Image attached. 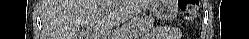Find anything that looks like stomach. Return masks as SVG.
I'll list each match as a JSON object with an SVG mask.
<instances>
[{"mask_svg": "<svg viewBox=\"0 0 249 39\" xmlns=\"http://www.w3.org/2000/svg\"><path fill=\"white\" fill-rule=\"evenodd\" d=\"M176 7V0H156L151 5V12L156 18L170 20L177 13Z\"/></svg>", "mask_w": 249, "mask_h": 39, "instance_id": "0dacf381", "label": "stomach"}]
</instances>
